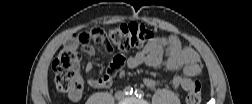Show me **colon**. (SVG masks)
<instances>
[{
	"mask_svg": "<svg viewBox=\"0 0 252 104\" xmlns=\"http://www.w3.org/2000/svg\"><path fill=\"white\" fill-rule=\"evenodd\" d=\"M152 32L141 23L131 22L104 30L94 27L81 31L60 51L53 62L55 84L59 91L73 96L82 92V64L84 57L93 55V44L100 45L106 51L117 49L121 52L141 47L151 40ZM123 63V57L117 55L110 65L108 74L114 76ZM187 102L197 104L201 100V84L194 80L187 94Z\"/></svg>",
	"mask_w": 252,
	"mask_h": 104,
	"instance_id": "obj_1",
	"label": "colon"
}]
</instances>
